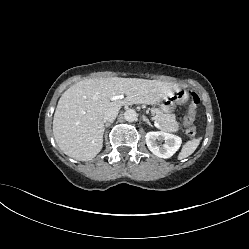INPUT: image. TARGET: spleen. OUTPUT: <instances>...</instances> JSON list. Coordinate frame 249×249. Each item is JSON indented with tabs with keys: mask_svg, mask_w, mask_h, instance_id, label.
<instances>
[{
	"mask_svg": "<svg viewBox=\"0 0 249 249\" xmlns=\"http://www.w3.org/2000/svg\"><path fill=\"white\" fill-rule=\"evenodd\" d=\"M201 138L193 139L188 141L182 148L181 152L179 153L178 159H184L190 156L198 147Z\"/></svg>",
	"mask_w": 249,
	"mask_h": 249,
	"instance_id": "1",
	"label": "spleen"
}]
</instances>
